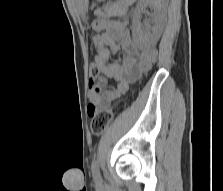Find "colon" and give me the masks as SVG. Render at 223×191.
I'll list each match as a JSON object with an SVG mask.
<instances>
[{"mask_svg":"<svg viewBox=\"0 0 223 191\" xmlns=\"http://www.w3.org/2000/svg\"><path fill=\"white\" fill-rule=\"evenodd\" d=\"M94 43L99 51L103 50L104 45L101 36L99 35L95 36ZM99 72L100 71L97 63H93L90 65L89 74L92 79L97 78ZM118 110H119V105L117 104L111 108H105L97 111L95 108H91L90 112L93 113L92 123H91V129L93 134L95 135L103 134L108 128L109 124L113 120Z\"/></svg>","mask_w":223,"mask_h":191,"instance_id":"1","label":"colon"}]
</instances>
